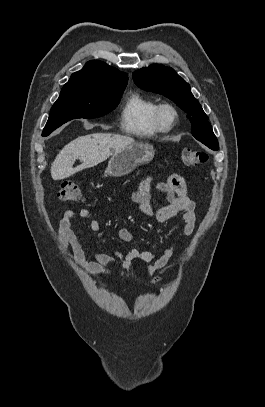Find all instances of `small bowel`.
<instances>
[{
	"mask_svg": "<svg viewBox=\"0 0 265 407\" xmlns=\"http://www.w3.org/2000/svg\"><path fill=\"white\" fill-rule=\"evenodd\" d=\"M153 179L147 177L142 180L132 193V200L137 204L142 213L147 216H153L160 222H165L181 214L184 223L182 229L183 236H190L195 229L196 221V203L189 197L188 188L183 177L178 174H172L166 181L157 183V189L163 193L167 199V204L154 210L152 207V187ZM79 215L89 221V227L92 231L100 230L101 225L98 220L93 218L87 209H81ZM75 216L73 210L65 211L59 223V239L64 250L74 259V261L85 271L93 275H110L117 265L126 270L133 269V263L139 261L142 263L144 271L152 279L150 284L159 280L156 275L170 261L174 246L167 244L161 251H140L131 249L128 252L114 251L113 254L95 252L92 253V259L88 260L86 251L78 240L72 228V220ZM119 237L125 242H133L134 235L127 228L118 230Z\"/></svg>",
	"mask_w": 265,
	"mask_h": 407,
	"instance_id": "small-bowel-1",
	"label": "small bowel"
}]
</instances>
